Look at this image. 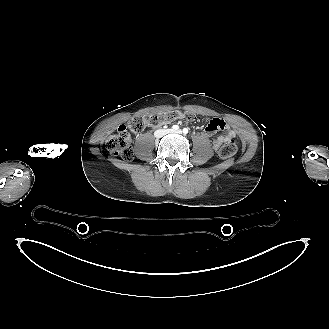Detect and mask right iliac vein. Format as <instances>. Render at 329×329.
Instances as JSON below:
<instances>
[{
    "instance_id": "1",
    "label": "right iliac vein",
    "mask_w": 329,
    "mask_h": 329,
    "mask_svg": "<svg viewBox=\"0 0 329 329\" xmlns=\"http://www.w3.org/2000/svg\"><path fill=\"white\" fill-rule=\"evenodd\" d=\"M168 131H169V130H167V131L161 130V131H160V134L163 135V134H165V133H168Z\"/></svg>"
}]
</instances>
